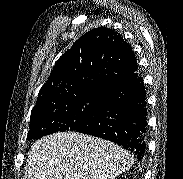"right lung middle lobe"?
I'll list each match as a JSON object with an SVG mask.
<instances>
[{
	"instance_id": "right-lung-middle-lobe-1",
	"label": "right lung middle lobe",
	"mask_w": 183,
	"mask_h": 179,
	"mask_svg": "<svg viewBox=\"0 0 183 179\" xmlns=\"http://www.w3.org/2000/svg\"><path fill=\"white\" fill-rule=\"evenodd\" d=\"M100 102L101 94H86L35 106L31 112L27 138L76 131L94 116Z\"/></svg>"
}]
</instances>
